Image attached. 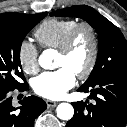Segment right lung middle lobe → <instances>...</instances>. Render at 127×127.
<instances>
[{"label":"right lung middle lobe","mask_w":127,"mask_h":127,"mask_svg":"<svg viewBox=\"0 0 127 127\" xmlns=\"http://www.w3.org/2000/svg\"><path fill=\"white\" fill-rule=\"evenodd\" d=\"M46 15L44 12L17 19L0 16V90L17 89L26 84L20 62L21 44Z\"/></svg>","instance_id":"obj_1"}]
</instances>
